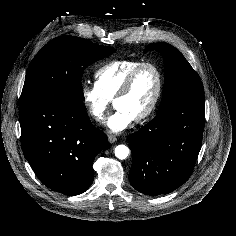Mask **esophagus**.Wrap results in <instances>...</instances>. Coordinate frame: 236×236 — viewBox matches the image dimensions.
<instances>
[{
    "instance_id": "34e87169",
    "label": "esophagus",
    "mask_w": 236,
    "mask_h": 236,
    "mask_svg": "<svg viewBox=\"0 0 236 236\" xmlns=\"http://www.w3.org/2000/svg\"><path fill=\"white\" fill-rule=\"evenodd\" d=\"M117 140V138L114 135H108V141L110 143H114Z\"/></svg>"
}]
</instances>
